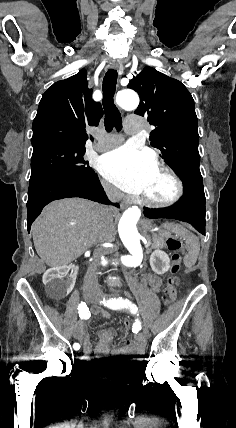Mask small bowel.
Returning a JSON list of instances; mask_svg holds the SVG:
<instances>
[{"label": "small bowel", "instance_id": "1", "mask_svg": "<svg viewBox=\"0 0 236 428\" xmlns=\"http://www.w3.org/2000/svg\"><path fill=\"white\" fill-rule=\"evenodd\" d=\"M147 281L153 290H158L161 286V279L155 274H150ZM102 316L106 319L111 317L109 312H103ZM75 336L83 343V358L89 360L92 354V344L84 323H78L74 329ZM115 336L112 328L100 330L98 333V343L94 352L99 355L112 354L118 357H125L132 360L138 359L144 352L145 338L139 334L133 338L126 339L120 347L110 349V343Z\"/></svg>", "mask_w": 236, "mask_h": 428}]
</instances>
